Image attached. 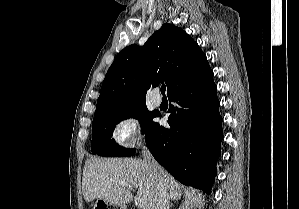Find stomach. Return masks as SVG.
I'll list each match as a JSON object with an SVG mask.
<instances>
[{
    "label": "stomach",
    "instance_id": "obj_1",
    "mask_svg": "<svg viewBox=\"0 0 299 209\" xmlns=\"http://www.w3.org/2000/svg\"><path fill=\"white\" fill-rule=\"evenodd\" d=\"M94 209H125V208L123 206L112 204L103 199H97L94 205Z\"/></svg>",
    "mask_w": 299,
    "mask_h": 209
}]
</instances>
